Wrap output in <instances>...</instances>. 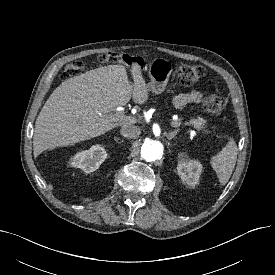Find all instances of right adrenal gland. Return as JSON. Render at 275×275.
<instances>
[{
    "label": "right adrenal gland",
    "mask_w": 275,
    "mask_h": 275,
    "mask_svg": "<svg viewBox=\"0 0 275 275\" xmlns=\"http://www.w3.org/2000/svg\"><path fill=\"white\" fill-rule=\"evenodd\" d=\"M115 140H121V139H120V138H116V137H115Z\"/></svg>",
    "instance_id": "right-adrenal-gland-1"
}]
</instances>
